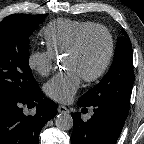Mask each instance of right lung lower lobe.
I'll list each match as a JSON object with an SVG mask.
<instances>
[{
  "label": "right lung lower lobe",
  "mask_w": 144,
  "mask_h": 144,
  "mask_svg": "<svg viewBox=\"0 0 144 144\" xmlns=\"http://www.w3.org/2000/svg\"><path fill=\"white\" fill-rule=\"evenodd\" d=\"M36 106L34 116L25 115L23 107ZM57 114L54 101L43 99L41 90L15 102L0 104V144H38L42 127Z\"/></svg>",
  "instance_id": "obj_1"
}]
</instances>
